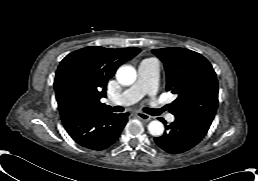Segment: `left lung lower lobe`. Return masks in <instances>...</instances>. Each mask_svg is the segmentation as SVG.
Masks as SVG:
<instances>
[{"label":"left lung lower lobe","instance_id":"1","mask_svg":"<svg viewBox=\"0 0 258 181\" xmlns=\"http://www.w3.org/2000/svg\"><path fill=\"white\" fill-rule=\"evenodd\" d=\"M176 119L169 126L161 137L154 138L156 144L170 154L183 153L196 144L208 132L212 120L198 117L177 115ZM162 122L166 124L163 119Z\"/></svg>","mask_w":258,"mask_h":181}]
</instances>
